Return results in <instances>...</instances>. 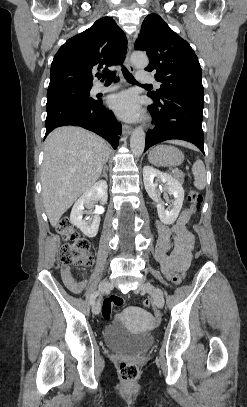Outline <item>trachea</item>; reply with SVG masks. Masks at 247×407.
Listing matches in <instances>:
<instances>
[{"label": "trachea", "instance_id": "obj_1", "mask_svg": "<svg viewBox=\"0 0 247 407\" xmlns=\"http://www.w3.org/2000/svg\"><path fill=\"white\" fill-rule=\"evenodd\" d=\"M122 73H123L125 79H126L128 82L134 83V84H139V83L135 80L134 76H133L125 67L122 68ZM101 77L104 78V79H106V82H112V81L115 79V77H116V72L102 74ZM144 85H145V86H151V85H149V84H144Z\"/></svg>", "mask_w": 247, "mask_h": 407}]
</instances>
